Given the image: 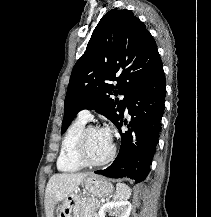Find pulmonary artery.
I'll return each instance as SVG.
<instances>
[{
	"mask_svg": "<svg viewBox=\"0 0 211 217\" xmlns=\"http://www.w3.org/2000/svg\"><path fill=\"white\" fill-rule=\"evenodd\" d=\"M79 118L85 120V121H88L91 119L92 115H91V112L87 109H83L79 112L78 114Z\"/></svg>",
	"mask_w": 211,
	"mask_h": 217,
	"instance_id": "obj_1",
	"label": "pulmonary artery"
}]
</instances>
